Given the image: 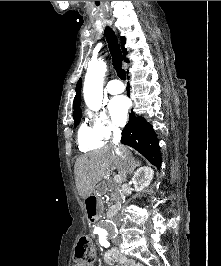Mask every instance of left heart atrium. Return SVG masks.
<instances>
[{
	"instance_id": "39dd6f15",
	"label": "left heart atrium",
	"mask_w": 221,
	"mask_h": 266,
	"mask_svg": "<svg viewBox=\"0 0 221 266\" xmlns=\"http://www.w3.org/2000/svg\"><path fill=\"white\" fill-rule=\"evenodd\" d=\"M128 101L124 96L113 98L109 103V111L112 119L119 125H123L127 118Z\"/></svg>"
}]
</instances>
